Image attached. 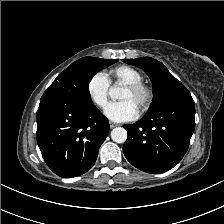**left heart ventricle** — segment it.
Masks as SVG:
<instances>
[{
  "mask_svg": "<svg viewBox=\"0 0 224 224\" xmlns=\"http://www.w3.org/2000/svg\"><path fill=\"white\" fill-rule=\"evenodd\" d=\"M120 100L125 101V100H129L131 101L137 108H139L140 102H141V98L138 95H135L133 93H131L129 90H127L126 88L123 89L121 96H120Z\"/></svg>",
  "mask_w": 224,
  "mask_h": 224,
  "instance_id": "b2bd125f",
  "label": "left heart ventricle"
}]
</instances>
